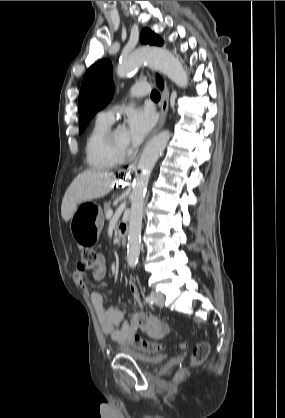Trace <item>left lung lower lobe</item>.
<instances>
[{"instance_id": "obj_1", "label": "left lung lower lobe", "mask_w": 285, "mask_h": 418, "mask_svg": "<svg viewBox=\"0 0 285 418\" xmlns=\"http://www.w3.org/2000/svg\"><path fill=\"white\" fill-rule=\"evenodd\" d=\"M157 85L160 87V88H163V80L158 76L157 77Z\"/></svg>"}]
</instances>
